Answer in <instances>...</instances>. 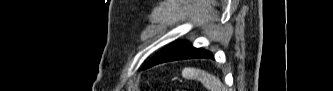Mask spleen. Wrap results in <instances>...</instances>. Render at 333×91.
<instances>
[{
	"label": "spleen",
	"mask_w": 333,
	"mask_h": 91,
	"mask_svg": "<svg viewBox=\"0 0 333 91\" xmlns=\"http://www.w3.org/2000/svg\"><path fill=\"white\" fill-rule=\"evenodd\" d=\"M182 76L185 79L200 81L208 91H225V86L220 79L204 70L185 68L182 71Z\"/></svg>",
	"instance_id": "spleen-1"
}]
</instances>
